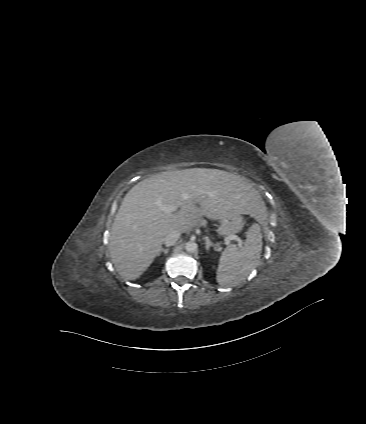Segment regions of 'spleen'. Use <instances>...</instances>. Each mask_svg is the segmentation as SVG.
I'll list each match as a JSON object with an SVG mask.
<instances>
[{
	"mask_svg": "<svg viewBox=\"0 0 366 424\" xmlns=\"http://www.w3.org/2000/svg\"><path fill=\"white\" fill-rule=\"evenodd\" d=\"M262 252V234L255 223L247 231L243 247L228 245L220 256L216 279L220 285L237 286L256 267Z\"/></svg>",
	"mask_w": 366,
	"mask_h": 424,
	"instance_id": "obj_1",
	"label": "spleen"
}]
</instances>
